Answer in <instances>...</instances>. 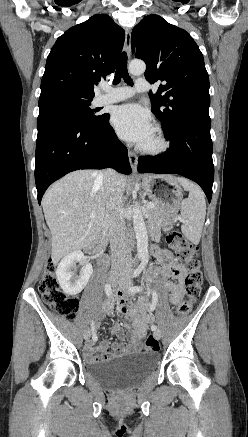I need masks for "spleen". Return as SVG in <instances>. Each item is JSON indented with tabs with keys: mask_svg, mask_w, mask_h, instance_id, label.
<instances>
[{
	"mask_svg": "<svg viewBox=\"0 0 248 437\" xmlns=\"http://www.w3.org/2000/svg\"><path fill=\"white\" fill-rule=\"evenodd\" d=\"M176 180L189 191L188 198L180 203V221L182 232L192 243L198 244L206 216V202L202 190L186 178L178 177Z\"/></svg>",
	"mask_w": 248,
	"mask_h": 437,
	"instance_id": "3e777b00",
	"label": "spleen"
}]
</instances>
